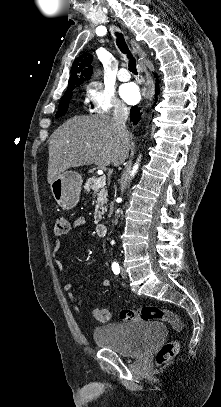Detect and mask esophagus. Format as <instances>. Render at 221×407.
Here are the masks:
<instances>
[{"label":"esophagus","mask_w":221,"mask_h":407,"mask_svg":"<svg viewBox=\"0 0 221 407\" xmlns=\"http://www.w3.org/2000/svg\"><path fill=\"white\" fill-rule=\"evenodd\" d=\"M131 47H132V50H133L135 53H139L140 47H139V45H138L136 42L131 41ZM142 71H144L145 73H147L145 66H142ZM143 96H144L145 107H146V106L148 105L149 101L151 100L152 96H153V89L150 88V87H148V89L146 90V92H144Z\"/></svg>","instance_id":"esophagus-1"}]
</instances>
